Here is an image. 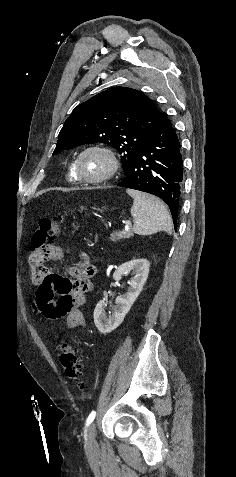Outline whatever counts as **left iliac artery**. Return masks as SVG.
Segmentation results:
<instances>
[{"label":"left iliac artery","instance_id":"44dca946","mask_svg":"<svg viewBox=\"0 0 236 477\" xmlns=\"http://www.w3.org/2000/svg\"><path fill=\"white\" fill-rule=\"evenodd\" d=\"M95 416H96V412L95 411H92L87 420H86V428L93 422V420L95 419ZM86 428H85V433H86ZM85 438H86V434H85Z\"/></svg>","mask_w":236,"mask_h":477}]
</instances>
